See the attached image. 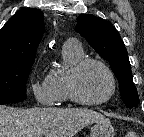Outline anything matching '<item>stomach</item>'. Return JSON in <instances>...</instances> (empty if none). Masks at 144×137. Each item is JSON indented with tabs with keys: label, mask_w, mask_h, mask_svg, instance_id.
<instances>
[{
	"label": "stomach",
	"mask_w": 144,
	"mask_h": 137,
	"mask_svg": "<svg viewBox=\"0 0 144 137\" xmlns=\"http://www.w3.org/2000/svg\"><path fill=\"white\" fill-rule=\"evenodd\" d=\"M90 137H115V130L109 119L96 121L91 128Z\"/></svg>",
	"instance_id": "1"
}]
</instances>
